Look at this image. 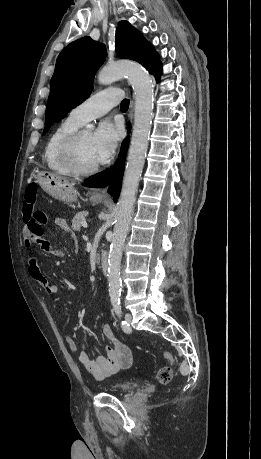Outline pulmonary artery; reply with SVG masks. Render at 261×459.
<instances>
[{"mask_svg": "<svg viewBox=\"0 0 261 459\" xmlns=\"http://www.w3.org/2000/svg\"><path fill=\"white\" fill-rule=\"evenodd\" d=\"M122 97L123 92L118 88L104 89L72 109L69 116L81 124H85L107 113L122 100Z\"/></svg>", "mask_w": 261, "mask_h": 459, "instance_id": "pulmonary-artery-1", "label": "pulmonary artery"}]
</instances>
